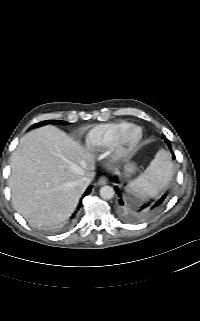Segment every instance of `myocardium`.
Returning a JSON list of instances; mask_svg holds the SVG:
<instances>
[{
    "instance_id": "obj_1",
    "label": "myocardium",
    "mask_w": 200,
    "mask_h": 321,
    "mask_svg": "<svg viewBox=\"0 0 200 321\" xmlns=\"http://www.w3.org/2000/svg\"><path fill=\"white\" fill-rule=\"evenodd\" d=\"M134 130L138 131V135L134 139H130V134ZM143 135V129L140 126L131 124L127 127L113 145V159L122 160L130 155L141 143Z\"/></svg>"
}]
</instances>
